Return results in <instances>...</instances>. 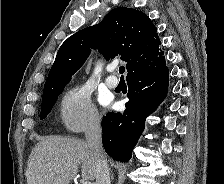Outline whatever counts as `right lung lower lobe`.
I'll return each mask as SVG.
<instances>
[{"mask_svg": "<svg viewBox=\"0 0 224 184\" xmlns=\"http://www.w3.org/2000/svg\"><path fill=\"white\" fill-rule=\"evenodd\" d=\"M129 91L124 113H108L102 119V143L108 155L128 162L144 129V122L164 100L168 91L165 61L156 67L129 76Z\"/></svg>", "mask_w": 224, "mask_h": 184, "instance_id": "1", "label": "right lung lower lobe"}]
</instances>
